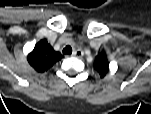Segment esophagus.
Wrapping results in <instances>:
<instances>
[{
    "mask_svg": "<svg viewBox=\"0 0 151 114\" xmlns=\"http://www.w3.org/2000/svg\"><path fill=\"white\" fill-rule=\"evenodd\" d=\"M84 55V52L81 49H77L72 53V56L81 58Z\"/></svg>",
    "mask_w": 151,
    "mask_h": 114,
    "instance_id": "34e87169",
    "label": "esophagus"
}]
</instances>
